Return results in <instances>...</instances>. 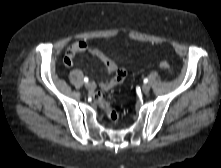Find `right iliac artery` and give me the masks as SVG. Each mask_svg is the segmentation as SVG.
Segmentation results:
<instances>
[{
  "label": "right iliac artery",
  "instance_id": "1",
  "mask_svg": "<svg viewBox=\"0 0 221 168\" xmlns=\"http://www.w3.org/2000/svg\"><path fill=\"white\" fill-rule=\"evenodd\" d=\"M89 79L87 77L84 78V82L87 83Z\"/></svg>",
  "mask_w": 221,
  "mask_h": 168
}]
</instances>
